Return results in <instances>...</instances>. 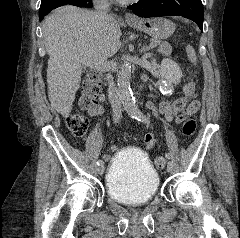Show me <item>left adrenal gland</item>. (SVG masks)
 <instances>
[{
    "label": "left adrenal gland",
    "instance_id": "left-adrenal-gland-1",
    "mask_svg": "<svg viewBox=\"0 0 240 238\" xmlns=\"http://www.w3.org/2000/svg\"><path fill=\"white\" fill-rule=\"evenodd\" d=\"M150 47H148V46H144L143 48H142V52H144V57H148V56H150V54L149 53H146L147 51H148V49H149Z\"/></svg>",
    "mask_w": 240,
    "mask_h": 238
}]
</instances>
